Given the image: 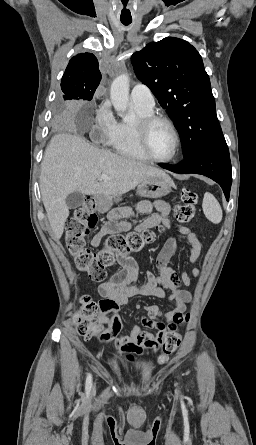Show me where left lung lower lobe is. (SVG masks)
Returning <instances> with one entry per match:
<instances>
[{
    "mask_svg": "<svg viewBox=\"0 0 256 445\" xmlns=\"http://www.w3.org/2000/svg\"><path fill=\"white\" fill-rule=\"evenodd\" d=\"M162 168L175 173H195L216 181L229 200L232 168L227 144L203 147L191 153L176 166L160 164Z\"/></svg>",
    "mask_w": 256,
    "mask_h": 445,
    "instance_id": "0a47b994",
    "label": "left lung lower lobe"
}]
</instances>
